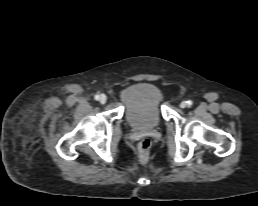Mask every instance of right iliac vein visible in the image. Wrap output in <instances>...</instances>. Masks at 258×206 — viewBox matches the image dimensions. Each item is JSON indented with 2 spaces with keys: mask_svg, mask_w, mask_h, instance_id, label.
<instances>
[{
  "mask_svg": "<svg viewBox=\"0 0 258 206\" xmlns=\"http://www.w3.org/2000/svg\"><path fill=\"white\" fill-rule=\"evenodd\" d=\"M99 101L101 104H105L107 101L106 95H104V94L100 95Z\"/></svg>",
  "mask_w": 258,
  "mask_h": 206,
  "instance_id": "obj_1",
  "label": "right iliac vein"
}]
</instances>
